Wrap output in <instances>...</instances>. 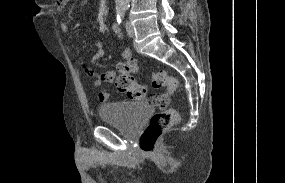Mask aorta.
Returning <instances> with one entry per match:
<instances>
[{
	"label": "aorta",
	"mask_w": 285,
	"mask_h": 183,
	"mask_svg": "<svg viewBox=\"0 0 285 183\" xmlns=\"http://www.w3.org/2000/svg\"><path fill=\"white\" fill-rule=\"evenodd\" d=\"M130 0H115L116 8L118 10H124L129 7Z\"/></svg>",
	"instance_id": "1"
}]
</instances>
